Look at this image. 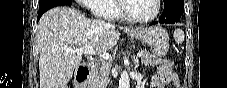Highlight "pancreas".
I'll list each match as a JSON object with an SVG mask.
<instances>
[{
	"instance_id": "obj_1",
	"label": "pancreas",
	"mask_w": 227,
	"mask_h": 88,
	"mask_svg": "<svg viewBox=\"0 0 227 88\" xmlns=\"http://www.w3.org/2000/svg\"><path fill=\"white\" fill-rule=\"evenodd\" d=\"M144 55L141 57V61L146 66H155L158 64H166L168 66H172L173 64L161 57L152 55L148 53L146 50L142 51ZM110 71V64L108 62L102 63L100 67H97L92 73L89 79V85L91 87H100L104 84V82L108 79Z\"/></svg>"
}]
</instances>
